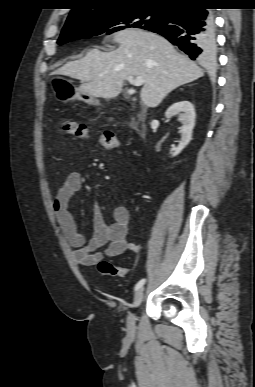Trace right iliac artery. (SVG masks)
<instances>
[{"mask_svg":"<svg viewBox=\"0 0 255 387\" xmlns=\"http://www.w3.org/2000/svg\"><path fill=\"white\" fill-rule=\"evenodd\" d=\"M145 281H146L145 279H141V280L136 284L135 290L140 289V288L144 285Z\"/></svg>","mask_w":255,"mask_h":387,"instance_id":"82829eb1","label":"right iliac artery"}]
</instances>
